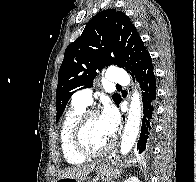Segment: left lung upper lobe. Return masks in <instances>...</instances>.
<instances>
[{
	"mask_svg": "<svg viewBox=\"0 0 196 182\" xmlns=\"http://www.w3.org/2000/svg\"><path fill=\"white\" fill-rule=\"evenodd\" d=\"M147 55L136 27L123 12L107 9L98 13L65 50L58 73L56 122L74 92L92 87L97 70L114 64L133 74ZM112 98L117 105L122 100L117 93Z\"/></svg>",
	"mask_w": 196,
	"mask_h": 182,
	"instance_id": "left-lung-upper-lobe-1",
	"label": "left lung upper lobe"
}]
</instances>
